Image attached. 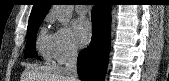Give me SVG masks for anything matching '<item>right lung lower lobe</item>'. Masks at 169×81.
Listing matches in <instances>:
<instances>
[{
    "mask_svg": "<svg viewBox=\"0 0 169 81\" xmlns=\"http://www.w3.org/2000/svg\"><path fill=\"white\" fill-rule=\"evenodd\" d=\"M92 40L78 56L77 71L82 81H103L110 48V5L99 2L92 12Z\"/></svg>",
    "mask_w": 169,
    "mask_h": 81,
    "instance_id": "98d812e1",
    "label": "right lung lower lobe"
}]
</instances>
